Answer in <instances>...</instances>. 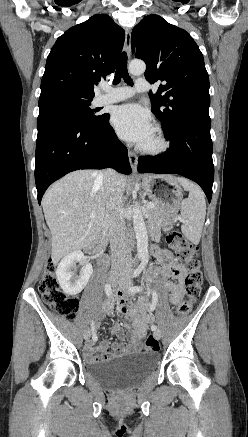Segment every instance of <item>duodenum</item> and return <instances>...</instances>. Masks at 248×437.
Wrapping results in <instances>:
<instances>
[{"label": "duodenum", "mask_w": 248, "mask_h": 437, "mask_svg": "<svg viewBox=\"0 0 248 437\" xmlns=\"http://www.w3.org/2000/svg\"><path fill=\"white\" fill-rule=\"evenodd\" d=\"M104 239H105V233H101V234L98 236L97 244H96V246H95V248H94L95 253H97L98 255L101 254L102 243H103ZM154 252H155V254L157 253L156 250H155ZM101 261H102V262L105 261L104 257H101Z\"/></svg>", "instance_id": "1"}]
</instances>
